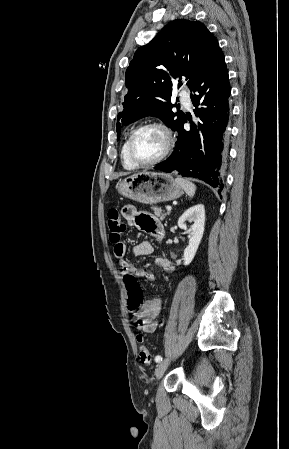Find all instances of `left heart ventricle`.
<instances>
[{
  "label": "left heart ventricle",
  "mask_w": 289,
  "mask_h": 449,
  "mask_svg": "<svg viewBox=\"0 0 289 449\" xmlns=\"http://www.w3.org/2000/svg\"><path fill=\"white\" fill-rule=\"evenodd\" d=\"M164 137L157 129H145L138 133L134 140L133 152L140 162H148L157 158L163 151Z\"/></svg>",
  "instance_id": "left-heart-ventricle-1"
}]
</instances>
